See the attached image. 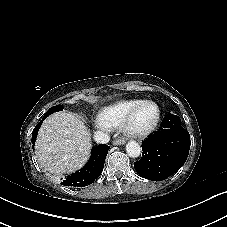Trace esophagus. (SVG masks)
I'll use <instances>...</instances> for the list:
<instances>
[{"mask_svg": "<svg viewBox=\"0 0 227 227\" xmlns=\"http://www.w3.org/2000/svg\"><path fill=\"white\" fill-rule=\"evenodd\" d=\"M126 141L123 138H118L113 141V145H124Z\"/></svg>", "mask_w": 227, "mask_h": 227, "instance_id": "obj_1", "label": "esophagus"}]
</instances>
